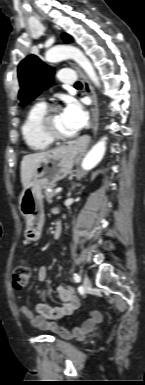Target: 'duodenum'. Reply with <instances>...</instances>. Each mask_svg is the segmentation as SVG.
<instances>
[{"label": "duodenum", "instance_id": "obj_1", "mask_svg": "<svg viewBox=\"0 0 145 385\" xmlns=\"http://www.w3.org/2000/svg\"><path fill=\"white\" fill-rule=\"evenodd\" d=\"M61 231H62V225H61L60 223H58V224L56 225L55 229H54V233H53L54 238L57 239V238L60 236Z\"/></svg>", "mask_w": 145, "mask_h": 385}]
</instances>
